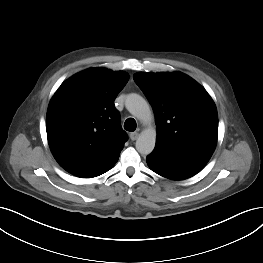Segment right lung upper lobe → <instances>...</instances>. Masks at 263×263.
Segmentation results:
<instances>
[{"label":"right lung upper lobe","mask_w":263,"mask_h":263,"mask_svg":"<svg viewBox=\"0 0 263 263\" xmlns=\"http://www.w3.org/2000/svg\"><path fill=\"white\" fill-rule=\"evenodd\" d=\"M129 77L92 68L70 77L52 97L46 118L51 152L69 173L88 178L116 163L127 140L114 100Z\"/></svg>","instance_id":"right-lung-upper-lobe-1"}]
</instances>
